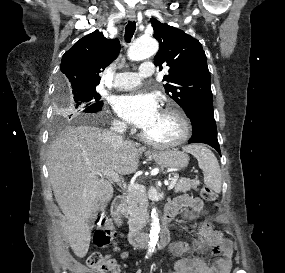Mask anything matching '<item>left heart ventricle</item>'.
<instances>
[{"label":"left heart ventricle","instance_id":"left-heart-ventricle-1","mask_svg":"<svg viewBox=\"0 0 285 273\" xmlns=\"http://www.w3.org/2000/svg\"><path fill=\"white\" fill-rule=\"evenodd\" d=\"M143 132L153 140L169 141L180 134V126L174 116L160 112L156 121Z\"/></svg>","mask_w":285,"mask_h":273}]
</instances>
